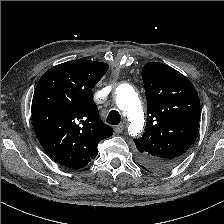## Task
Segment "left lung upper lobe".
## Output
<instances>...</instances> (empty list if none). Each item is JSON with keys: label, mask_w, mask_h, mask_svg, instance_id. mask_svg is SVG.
<instances>
[{"label": "left lung upper lobe", "mask_w": 224, "mask_h": 224, "mask_svg": "<svg viewBox=\"0 0 224 224\" xmlns=\"http://www.w3.org/2000/svg\"><path fill=\"white\" fill-rule=\"evenodd\" d=\"M147 99L145 133L134 139L143 166L167 171L176 166L192 145L201 107L192 83L177 70L159 62L143 66Z\"/></svg>", "instance_id": "5c2ea615"}]
</instances>
